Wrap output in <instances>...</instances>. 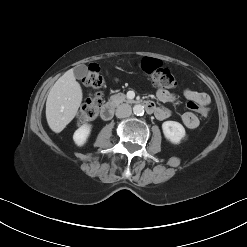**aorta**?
<instances>
[{"instance_id":"obj_1","label":"aorta","mask_w":247,"mask_h":247,"mask_svg":"<svg viewBox=\"0 0 247 247\" xmlns=\"http://www.w3.org/2000/svg\"><path fill=\"white\" fill-rule=\"evenodd\" d=\"M133 112H134V114L135 115H137V116H141V115H143L144 114V107L142 106V105H135L134 107H133Z\"/></svg>"}]
</instances>
